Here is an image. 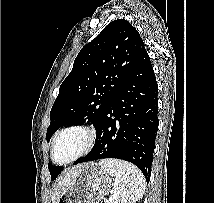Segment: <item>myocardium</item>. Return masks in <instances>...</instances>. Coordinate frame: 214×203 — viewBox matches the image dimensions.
<instances>
[{
	"label": "myocardium",
	"instance_id": "1",
	"mask_svg": "<svg viewBox=\"0 0 214 203\" xmlns=\"http://www.w3.org/2000/svg\"><path fill=\"white\" fill-rule=\"evenodd\" d=\"M71 130H81L86 134L87 140H86V144L84 146V148L78 153L76 154L74 157L70 158L67 161L64 162H58L55 159V148L57 145V142L59 140V138L66 132L71 131ZM96 138H97V133L95 131L94 128L85 125V124H71L68 125L62 129H60L54 136L53 141H52V146H51V159L54 163L59 164V165H67L70 163H73L75 161H77L78 159L82 158L83 156H85L86 154H88L92 148L95 145L96 142Z\"/></svg>",
	"mask_w": 214,
	"mask_h": 203
}]
</instances>
